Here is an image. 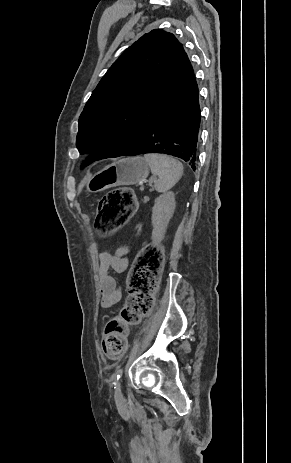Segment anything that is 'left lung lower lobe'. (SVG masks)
Here are the masks:
<instances>
[{"label":"left lung lower lobe","mask_w":291,"mask_h":463,"mask_svg":"<svg viewBox=\"0 0 291 463\" xmlns=\"http://www.w3.org/2000/svg\"><path fill=\"white\" fill-rule=\"evenodd\" d=\"M201 110L196 79L182 88L162 115L125 156L172 155L196 169ZM122 156V155H121Z\"/></svg>","instance_id":"left-lung-lower-lobe-1"}]
</instances>
